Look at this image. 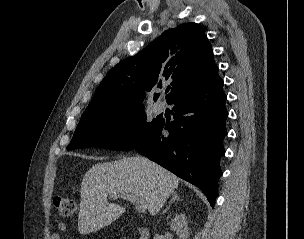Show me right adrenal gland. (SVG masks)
<instances>
[{
  "label": "right adrenal gland",
  "mask_w": 304,
  "mask_h": 239,
  "mask_svg": "<svg viewBox=\"0 0 304 239\" xmlns=\"http://www.w3.org/2000/svg\"><path fill=\"white\" fill-rule=\"evenodd\" d=\"M175 200H180V198H179V196H178V194H177L176 192H173V193H172V198H171V200H170V202H169V205L167 206L166 210L169 209L170 205H171ZM166 210H165V211H166Z\"/></svg>",
  "instance_id": "right-adrenal-gland-1"
}]
</instances>
